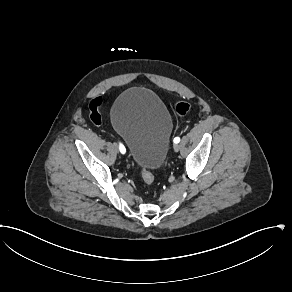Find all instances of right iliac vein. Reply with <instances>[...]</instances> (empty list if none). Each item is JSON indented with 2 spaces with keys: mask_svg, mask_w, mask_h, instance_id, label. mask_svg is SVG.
Segmentation results:
<instances>
[{
  "mask_svg": "<svg viewBox=\"0 0 292 292\" xmlns=\"http://www.w3.org/2000/svg\"><path fill=\"white\" fill-rule=\"evenodd\" d=\"M113 148H114V150H115L116 152H118L119 149H118L117 144L114 143V144H113Z\"/></svg>",
  "mask_w": 292,
  "mask_h": 292,
  "instance_id": "right-iliac-vein-1",
  "label": "right iliac vein"
}]
</instances>
